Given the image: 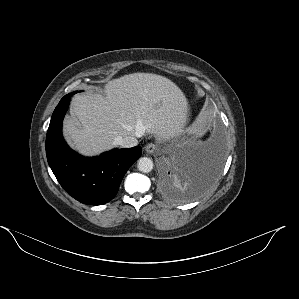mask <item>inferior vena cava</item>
<instances>
[{
    "label": "inferior vena cava",
    "instance_id": "602c4592",
    "mask_svg": "<svg viewBox=\"0 0 299 299\" xmlns=\"http://www.w3.org/2000/svg\"><path fill=\"white\" fill-rule=\"evenodd\" d=\"M114 143L122 148H131L138 144V140L134 136H125L115 138Z\"/></svg>",
    "mask_w": 299,
    "mask_h": 299
}]
</instances>
